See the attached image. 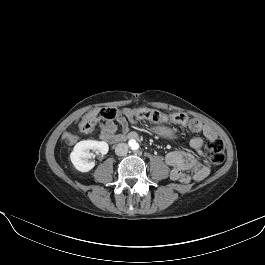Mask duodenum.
<instances>
[{
	"label": "duodenum",
	"instance_id": "410a0bca",
	"mask_svg": "<svg viewBox=\"0 0 265 265\" xmlns=\"http://www.w3.org/2000/svg\"><path fill=\"white\" fill-rule=\"evenodd\" d=\"M138 135L136 133H129L128 135H125L121 138L120 141H126L128 139H137Z\"/></svg>",
	"mask_w": 265,
	"mask_h": 265
}]
</instances>
